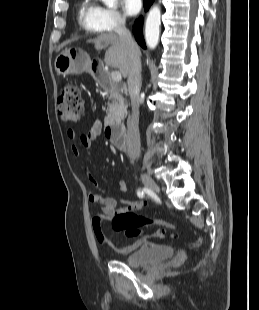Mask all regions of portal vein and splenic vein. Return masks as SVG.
I'll return each mask as SVG.
<instances>
[{"label": "portal vein and splenic vein", "mask_w": 259, "mask_h": 310, "mask_svg": "<svg viewBox=\"0 0 259 310\" xmlns=\"http://www.w3.org/2000/svg\"><path fill=\"white\" fill-rule=\"evenodd\" d=\"M111 77L115 82H120L122 79L121 73L119 71H113Z\"/></svg>", "instance_id": "portal-vein-and-splenic-vein-1"}]
</instances>
